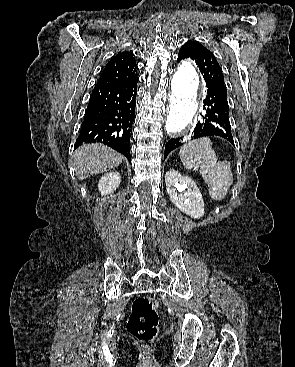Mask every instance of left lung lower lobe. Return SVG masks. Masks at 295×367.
Instances as JSON below:
<instances>
[{
  "mask_svg": "<svg viewBox=\"0 0 295 367\" xmlns=\"http://www.w3.org/2000/svg\"><path fill=\"white\" fill-rule=\"evenodd\" d=\"M179 62V61H178ZM207 96L204 99L205 112L196 124L191 138L219 136L234 145L231 125L229 121V105L225 85L214 81L206 83ZM183 137L170 139L165 146L164 160L168 154L182 145Z\"/></svg>",
  "mask_w": 295,
  "mask_h": 367,
  "instance_id": "left-lung-lower-lobe-1",
  "label": "left lung lower lobe"
}]
</instances>
